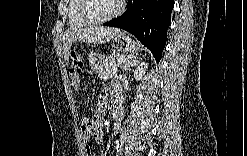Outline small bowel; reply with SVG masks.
<instances>
[{"instance_id": "1", "label": "small bowel", "mask_w": 247, "mask_h": 156, "mask_svg": "<svg viewBox=\"0 0 247 156\" xmlns=\"http://www.w3.org/2000/svg\"><path fill=\"white\" fill-rule=\"evenodd\" d=\"M81 67H82V65L79 62H74L71 66V69H70V76L72 78V84L76 88L78 87V84H79V75H80ZM114 92L116 93V100L118 102V106L122 107V97H121V93H120L119 89L115 88ZM110 94H111V89L106 88L102 91V93L100 95L99 116L97 118L98 122H100V120L102 119V110L104 107V103L107 101ZM115 129H116V131L118 130V124L116 125ZM83 134H84V128H83ZM84 140H85V144H86L85 153L87 155H91L92 150H91V147L89 145L90 138L84 134ZM95 140L97 142H101L102 141L101 135L98 134V136L95 137Z\"/></svg>"}]
</instances>
